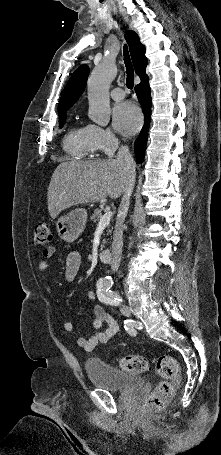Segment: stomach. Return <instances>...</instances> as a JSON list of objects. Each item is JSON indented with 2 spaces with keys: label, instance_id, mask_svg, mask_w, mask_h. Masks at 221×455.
<instances>
[{
  "label": "stomach",
  "instance_id": "1",
  "mask_svg": "<svg viewBox=\"0 0 221 455\" xmlns=\"http://www.w3.org/2000/svg\"><path fill=\"white\" fill-rule=\"evenodd\" d=\"M87 211L76 208L67 215L61 216L56 222L58 236L65 242H74L85 228Z\"/></svg>",
  "mask_w": 221,
  "mask_h": 455
}]
</instances>
